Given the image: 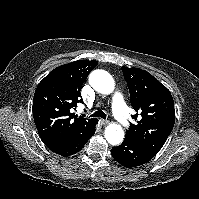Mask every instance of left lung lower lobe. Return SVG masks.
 <instances>
[{"instance_id":"0a47b994","label":"left lung lower lobe","mask_w":199,"mask_h":199,"mask_svg":"<svg viewBox=\"0 0 199 199\" xmlns=\"http://www.w3.org/2000/svg\"><path fill=\"white\" fill-rule=\"evenodd\" d=\"M111 154L118 163L131 168L147 163L157 153L125 136L121 145L112 148Z\"/></svg>"}]
</instances>
